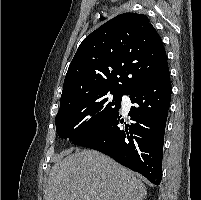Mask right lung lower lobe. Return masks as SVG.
<instances>
[{
    "instance_id": "right-lung-lower-lobe-1",
    "label": "right lung lower lobe",
    "mask_w": 201,
    "mask_h": 200,
    "mask_svg": "<svg viewBox=\"0 0 201 200\" xmlns=\"http://www.w3.org/2000/svg\"><path fill=\"white\" fill-rule=\"evenodd\" d=\"M171 81L167 71L129 94V124H123L118 110L96 128L72 141V144L96 149L118 163L159 185L165 126L171 100Z\"/></svg>"
}]
</instances>
